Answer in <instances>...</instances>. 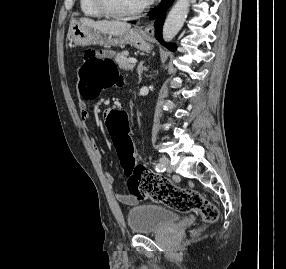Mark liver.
<instances>
[{"label":"liver","instance_id":"6515ba94","mask_svg":"<svg viewBox=\"0 0 286 269\" xmlns=\"http://www.w3.org/2000/svg\"><path fill=\"white\" fill-rule=\"evenodd\" d=\"M79 22L86 27L110 36H121L131 28V25L126 22L108 20L94 21L86 17L80 18Z\"/></svg>","mask_w":286,"mask_h":269}]
</instances>
